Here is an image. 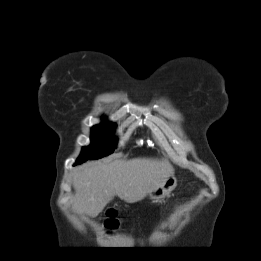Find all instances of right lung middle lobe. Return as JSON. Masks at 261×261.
<instances>
[{
	"label": "right lung middle lobe",
	"mask_w": 261,
	"mask_h": 261,
	"mask_svg": "<svg viewBox=\"0 0 261 261\" xmlns=\"http://www.w3.org/2000/svg\"><path fill=\"white\" fill-rule=\"evenodd\" d=\"M116 124L103 122L92 128V144L82 149L76 164L88 159H98L111 154L116 147V138L113 136Z\"/></svg>",
	"instance_id": "dd1d6c3e"
}]
</instances>
